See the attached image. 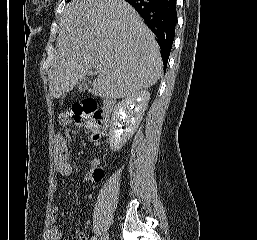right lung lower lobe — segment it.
Here are the masks:
<instances>
[{
  "mask_svg": "<svg viewBox=\"0 0 257 240\" xmlns=\"http://www.w3.org/2000/svg\"><path fill=\"white\" fill-rule=\"evenodd\" d=\"M156 35L166 69L177 22L176 0H126Z\"/></svg>",
  "mask_w": 257,
  "mask_h": 240,
  "instance_id": "98d812e1",
  "label": "right lung lower lobe"
}]
</instances>
